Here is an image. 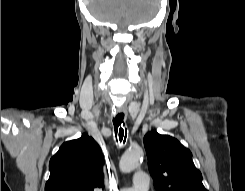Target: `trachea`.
Segmentation results:
<instances>
[{
	"label": "trachea",
	"instance_id": "obj_1",
	"mask_svg": "<svg viewBox=\"0 0 245 191\" xmlns=\"http://www.w3.org/2000/svg\"><path fill=\"white\" fill-rule=\"evenodd\" d=\"M113 125H114L116 138L118 135L119 141L125 142L127 138V129L125 127L123 113H119L118 115H116V117L113 119Z\"/></svg>",
	"mask_w": 245,
	"mask_h": 191
}]
</instances>
